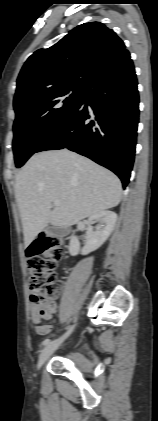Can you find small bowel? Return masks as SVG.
<instances>
[{
  "label": "small bowel",
  "mask_w": 158,
  "mask_h": 421,
  "mask_svg": "<svg viewBox=\"0 0 158 421\" xmlns=\"http://www.w3.org/2000/svg\"><path fill=\"white\" fill-rule=\"evenodd\" d=\"M49 318H50V315L41 317V316H38L34 312V310L32 311L31 319L34 324L35 331L38 335H47L51 332L52 326L50 324L43 322L44 319H49Z\"/></svg>",
  "instance_id": "1"
}]
</instances>
